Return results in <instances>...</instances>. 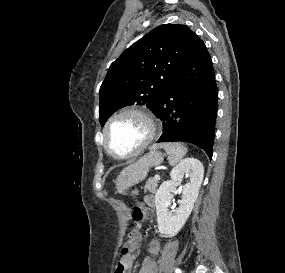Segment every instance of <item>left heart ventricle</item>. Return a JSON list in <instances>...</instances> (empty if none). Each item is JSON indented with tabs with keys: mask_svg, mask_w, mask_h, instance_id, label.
I'll list each match as a JSON object with an SVG mask.
<instances>
[{
	"mask_svg": "<svg viewBox=\"0 0 285 273\" xmlns=\"http://www.w3.org/2000/svg\"><path fill=\"white\" fill-rule=\"evenodd\" d=\"M146 123L136 115H125L110 126L107 141L111 150L123 155L133 151L146 137Z\"/></svg>",
	"mask_w": 285,
	"mask_h": 273,
	"instance_id": "obj_1",
	"label": "left heart ventricle"
}]
</instances>
